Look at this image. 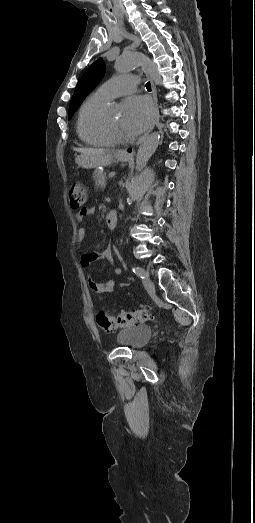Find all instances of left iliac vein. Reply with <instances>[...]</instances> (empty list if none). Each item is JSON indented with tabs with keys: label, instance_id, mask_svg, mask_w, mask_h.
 I'll use <instances>...</instances> for the list:
<instances>
[{
	"label": "left iliac vein",
	"instance_id": "4c4485c4",
	"mask_svg": "<svg viewBox=\"0 0 255 523\" xmlns=\"http://www.w3.org/2000/svg\"><path fill=\"white\" fill-rule=\"evenodd\" d=\"M144 270V269H143ZM144 273H145V278L142 280L143 282V285L144 287L146 288V290L153 294L155 293V286L154 284L149 280V277H148V273L144 270Z\"/></svg>",
	"mask_w": 255,
	"mask_h": 523
}]
</instances>
